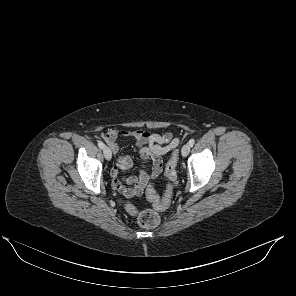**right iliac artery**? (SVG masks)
<instances>
[{"label":"right iliac artery","mask_w":296,"mask_h":296,"mask_svg":"<svg viewBox=\"0 0 296 296\" xmlns=\"http://www.w3.org/2000/svg\"><path fill=\"white\" fill-rule=\"evenodd\" d=\"M98 146L100 149H103L105 147V144L102 141H98Z\"/></svg>","instance_id":"right-iliac-artery-1"}]
</instances>
